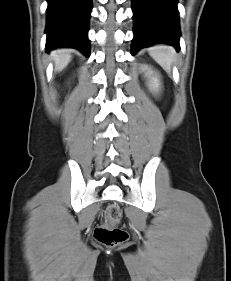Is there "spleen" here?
<instances>
[{
  "label": "spleen",
  "mask_w": 231,
  "mask_h": 281,
  "mask_svg": "<svg viewBox=\"0 0 231 281\" xmlns=\"http://www.w3.org/2000/svg\"><path fill=\"white\" fill-rule=\"evenodd\" d=\"M150 56L167 72H170L176 61V52L168 45H155L149 48Z\"/></svg>",
  "instance_id": "3e777b00"
}]
</instances>
